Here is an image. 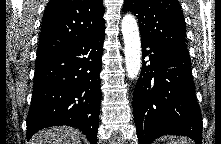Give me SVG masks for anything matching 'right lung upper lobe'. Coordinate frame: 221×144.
Segmentation results:
<instances>
[{"instance_id": "obj_1", "label": "right lung upper lobe", "mask_w": 221, "mask_h": 144, "mask_svg": "<svg viewBox=\"0 0 221 144\" xmlns=\"http://www.w3.org/2000/svg\"><path fill=\"white\" fill-rule=\"evenodd\" d=\"M103 0H50L37 57H46L105 29Z\"/></svg>"}]
</instances>
